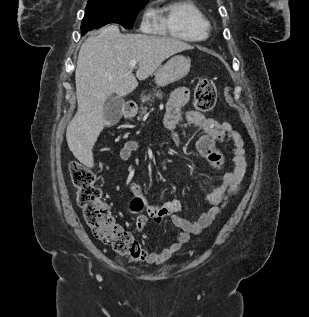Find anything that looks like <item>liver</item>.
Wrapping results in <instances>:
<instances>
[{
  "label": "liver",
  "mask_w": 309,
  "mask_h": 317,
  "mask_svg": "<svg viewBox=\"0 0 309 317\" xmlns=\"http://www.w3.org/2000/svg\"><path fill=\"white\" fill-rule=\"evenodd\" d=\"M193 47L179 39L122 34L117 25L104 27L82 44L75 71L78 109L67 126L70 151L82 164L93 167V146L105 125L104 105L116 93L123 97L150 77L170 56ZM136 60V77L129 66Z\"/></svg>",
  "instance_id": "liver-1"
}]
</instances>
